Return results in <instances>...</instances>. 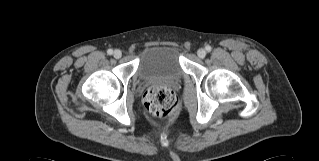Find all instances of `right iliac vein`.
I'll return each instance as SVG.
<instances>
[{
  "mask_svg": "<svg viewBox=\"0 0 319 161\" xmlns=\"http://www.w3.org/2000/svg\"><path fill=\"white\" fill-rule=\"evenodd\" d=\"M113 56H114L116 59H119V58L122 56V52L117 49V50L114 51Z\"/></svg>",
  "mask_w": 319,
  "mask_h": 161,
  "instance_id": "1",
  "label": "right iliac vein"
}]
</instances>
